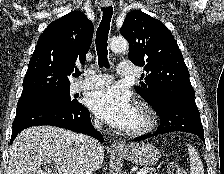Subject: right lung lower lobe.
<instances>
[{"label":"right lung lower lobe","mask_w":224,"mask_h":174,"mask_svg":"<svg viewBox=\"0 0 224 174\" xmlns=\"http://www.w3.org/2000/svg\"><path fill=\"white\" fill-rule=\"evenodd\" d=\"M38 125L57 126L104 141L102 134L93 128L88 109L77 100L67 105L52 96L25 95L17 103L10 144L19 132Z\"/></svg>","instance_id":"1"}]
</instances>
